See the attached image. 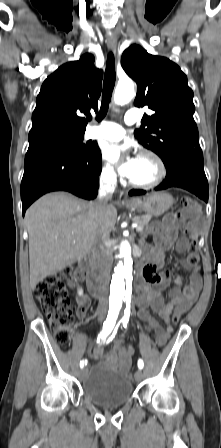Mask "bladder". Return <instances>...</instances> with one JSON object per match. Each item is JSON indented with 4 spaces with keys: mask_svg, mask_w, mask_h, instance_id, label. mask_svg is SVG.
I'll use <instances>...</instances> for the list:
<instances>
[{
    "mask_svg": "<svg viewBox=\"0 0 221 448\" xmlns=\"http://www.w3.org/2000/svg\"><path fill=\"white\" fill-rule=\"evenodd\" d=\"M83 394L93 403L103 407H119L133 396V386L128 375L106 363H98L82 378Z\"/></svg>",
    "mask_w": 221,
    "mask_h": 448,
    "instance_id": "obj_1",
    "label": "bladder"
}]
</instances>
